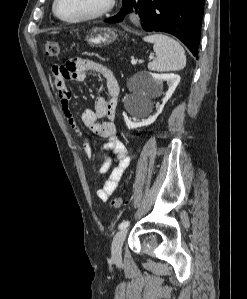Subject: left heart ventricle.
<instances>
[{"mask_svg": "<svg viewBox=\"0 0 247 299\" xmlns=\"http://www.w3.org/2000/svg\"><path fill=\"white\" fill-rule=\"evenodd\" d=\"M104 0H59L57 12L63 18H77L96 11Z\"/></svg>", "mask_w": 247, "mask_h": 299, "instance_id": "1", "label": "left heart ventricle"}]
</instances>
